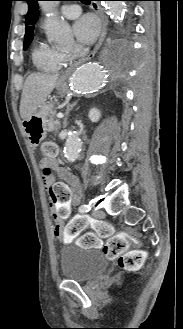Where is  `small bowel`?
<instances>
[{
	"instance_id": "1",
	"label": "small bowel",
	"mask_w": 183,
	"mask_h": 329,
	"mask_svg": "<svg viewBox=\"0 0 183 329\" xmlns=\"http://www.w3.org/2000/svg\"><path fill=\"white\" fill-rule=\"evenodd\" d=\"M41 165L54 169L58 176L64 182H50L49 178L45 179L47 194H51L50 211L55 219L54 234L62 241L67 243L70 239L63 235L64 220L74 210V203H78L81 198V187L78 178L66 168L59 166L55 160H43Z\"/></svg>"
}]
</instances>
